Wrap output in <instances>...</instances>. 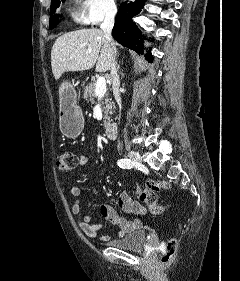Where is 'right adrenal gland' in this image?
Listing matches in <instances>:
<instances>
[{
    "label": "right adrenal gland",
    "mask_w": 240,
    "mask_h": 281,
    "mask_svg": "<svg viewBox=\"0 0 240 281\" xmlns=\"http://www.w3.org/2000/svg\"><path fill=\"white\" fill-rule=\"evenodd\" d=\"M117 68H118V70L120 69V65L119 64H117Z\"/></svg>",
    "instance_id": "right-adrenal-gland-1"
}]
</instances>
